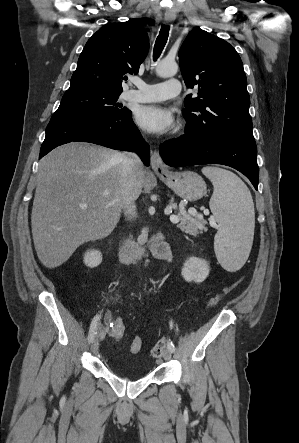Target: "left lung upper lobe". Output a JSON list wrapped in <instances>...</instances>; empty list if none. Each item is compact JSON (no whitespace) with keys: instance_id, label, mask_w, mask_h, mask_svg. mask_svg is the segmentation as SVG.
Segmentation results:
<instances>
[{"instance_id":"1","label":"left lung upper lobe","mask_w":299,"mask_h":443,"mask_svg":"<svg viewBox=\"0 0 299 443\" xmlns=\"http://www.w3.org/2000/svg\"><path fill=\"white\" fill-rule=\"evenodd\" d=\"M179 61L187 87L199 88L194 98L184 100L185 131L202 137L253 136L247 79L236 50L196 28L183 42Z\"/></svg>"}]
</instances>
